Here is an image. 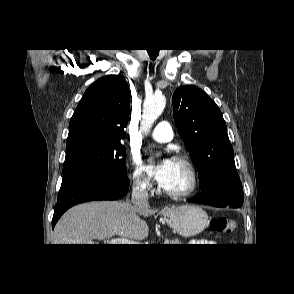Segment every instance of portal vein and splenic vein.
I'll use <instances>...</instances> for the list:
<instances>
[{"label":"portal vein and splenic vein","instance_id":"1","mask_svg":"<svg viewBox=\"0 0 294 294\" xmlns=\"http://www.w3.org/2000/svg\"><path fill=\"white\" fill-rule=\"evenodd\" d=\"M108 244H116V245H132V244H139L134 240L126 239V238H114L111 240H107Z\"/></svg>","mask_w":294,"mask_h":294}]
</instances>
